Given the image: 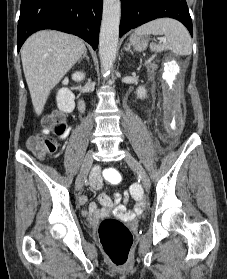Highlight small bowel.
Listing matches in <instances>:
<instances>
[{
  "label": "small bowel",
  "instance_id": "small-bowel-1",
  "mask_svg": "<svg viewBox=\"0 0 227 279\" xmlns=\"http://www.w3.org/2000/svg\"><path fill=\"white\" fill-rule=\"evenodd\" d=\"M69 132V129L65 132L60 134L61 138H64ZM114 168H105V169H96L89 177V185L94 189H101L103 181L106 180V173L113 170ZM131 193L139 194L140 193V186L134 184L130 188ZM100 202L104 207V210L108 211L113 208H117L118 212L121 214H130L127 212L126 207L124 205H118L120 201V193H115L113 198L108 197L106 194H100L99 196ZM87 202V197L82 195L79 197V203L84 205ZM144 207L143 203H139L137 205V210L140 211ZM99 212L98 206L96 204H91L88 207L82 208V213L84 215H95Z\"/></svg>",
  "mask_w": 227,
  "mask_h": 279
}]
</instances>
